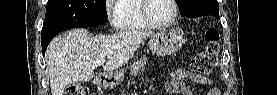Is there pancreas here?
I'll use <instances>...</instances> for the list:
<instances>
[{
    "label": "pancreas",
    "mask_w": 277,
    "mask_h": 95,
    "mask_svg": "<svg viewBox=\"0 0 277 95\" xmlns=\"http://www.w3.org/2000/svg\"><path fill=\"white\" fill-rule=\"evenodd\" d=\"M147 61H148L147 57L144 56L139 60H137L136 62H134L130 67V75L137 76L140 70H143L145 68Z\"/></svg>",
    "instance_id": "1"
}]
</instances>
